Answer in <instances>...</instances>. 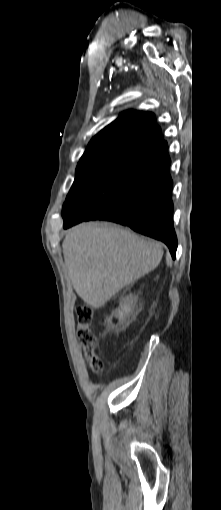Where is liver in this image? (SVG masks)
Wrapping results in <instances>:
<instances>
[{
	"mask_svg": "<svg viewBox=\"0 0 221 510\" xmlns=\"http://www.w3.org/2000/svg\"><path fill=\"white\" fill-rule=\"evenodd\" d=\"M62 248L74 290L93 308L154 270L163 256L161 243L108 223L73 227Z\"/></svg>",
	"mask_w": 221,
	"mask_h": 510,
	"instance_id": "1",
	"label": "liver"
}]
</instances>
